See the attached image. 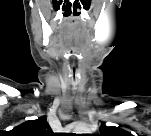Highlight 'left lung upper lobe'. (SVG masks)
<instances>
[{
	"label": "left lung upper lobe",
	"mask_w": 151,
	"mask_h": 136,
	"mask_svg": "<svg viewBox=\"0 0 151 136\" xmlns=\"http://www.w3.org/2000/svg\"><path fill=\"white\" fill-rule=\"evenodd\" d=\"M100 132H101V135L103 136H112V135H115V134H119L121 133V130L119 128H116V127H108L106 125H102L100 128H99Z\"/></svg>",
	"instance_id": "left-lung-upper-lobe-1"
}]
</instances>
